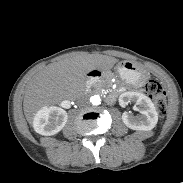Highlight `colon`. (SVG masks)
<instances>
[{"label": "colon", "mask_w": 183, "mask_h": 183, "mask_svg": "<svg viewBox=\"0 0 183 183\" xmlns=\"http://www.w3.org/2000/svg\"><path fill=\"white\" fill-rule=\"evenodd\" d=\"M145 92L155 102L159 115L163 116L166 111V92L162 84L157 80H149Z\"/></svg>", "instance_id": "obj_1"}]
</instances>
